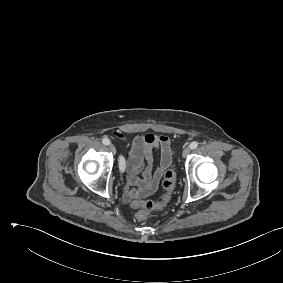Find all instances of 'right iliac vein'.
I'll return each instance as SVG.
<instances>
[{"label":"right iliac vein","mask_w":283,"mask_h":283,"mask_svg":"<svg viewBox=\"0 0 283 283\" xmlns=\"http://www.w3.org/2000/svg\"><path fill=\"white\" fill-rule=\"evenodd\" d=\"M109 150H110L113 154L116 153V148H115V146H114L113 144H110V145H109Z\"/></svg>","instance_id":"63e3f726"}]
</instances>
